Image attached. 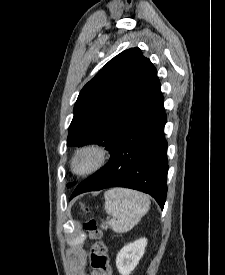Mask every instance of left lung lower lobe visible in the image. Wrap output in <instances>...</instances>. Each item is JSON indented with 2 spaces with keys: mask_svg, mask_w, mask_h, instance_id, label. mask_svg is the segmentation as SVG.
<instances>
[{
  "mask_svg": "<svg viewBox=\"0 0 225 275\" xmlns=\"http://www.w3.org/2000/svg\"><path fill=\"white\" fill-rule=\"evenodd\" d=\"M165 123L161 93L110 152L109 162L81 182L70 199L83 192L120 186L150 194L163 209L168 171Z\"/></svg>",
  "mask_w": 225,
  "mask_h": 275,
  "instance_id": "0a47b994",
  "label": "left lung lower lobe"
}]
</instances>
